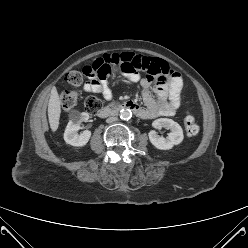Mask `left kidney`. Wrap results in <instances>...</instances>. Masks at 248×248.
I'll return each mask as SVG.
<instances>
[{
  "instance_id": "1",
  "label": "left kidney",
  "mask_w": 248,
  "mask_h": 248,
  "mask_svg": "<svg viewBox=\"0 0 248 248\" xmlns=\"http://www.w3.org/2000/svg\"><path fill=\"white\" fill-rule=\"evenodd\" d=\"M152 125L155 128H166L171 131L166 138L161 137L154 130L149 132V140L157 149L169 150L173 148L174 145H178L183 141V130L181 126L172 119L160 118L153 121Z\"/></svg>"
}]
</instances>
